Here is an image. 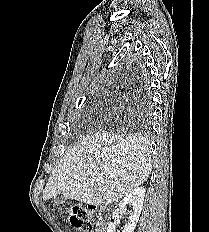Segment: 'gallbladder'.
<instances>
[{
  "label": "gallbladder",
  "instance_id": "obj_1",
  "mask_svg": "<svg viewBox=\"0 0 209 232\" xmlns=\"http://www.w3.org/2000/svg\"><path fill=\"white\" fill-rule=\"evenodd\" d=\"M66 200H67V198L65 196L61 195V194L56 195L54 197V203H56L58 205L63 204Z\"/></svg>",
  "mask_w": 209,
  "mask_h": 232
}]
</instances>
